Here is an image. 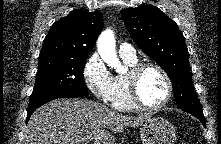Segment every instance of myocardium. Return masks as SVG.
<instances>
[{"mask_svg":"<svg viewBox=\"0 0 221 144\" xmlns=\"http://www.w3.org/2000/svg\"><path fill=\"white\" fill-rule=\"evenodd\" d=\"M150 68L156 69L157 71L161 73L167 86L165 99L161 103L155 106L146 105L141 100L139 91H138V83H139V79L141 75L143 74L145 70L150 69ZM126 79H127V85H128L129 98L132 104L138 109L147 110V111H158L164 108L170 102L172 98L173 83L167 71L159 64H156L153 62L137 63L135 66L130 68L129 72L126 74Z\"/></svg>","mask_w":221,"mask_h":144,"instance_id":"myocardium-1","label":"myocardium"}]
</instances>
